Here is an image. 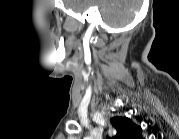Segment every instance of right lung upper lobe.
<instances>
[{
    "label": "right lung upper lobe",
    "instance_id": "cb5924a9",
    "mask_svg": "<svg viewBox=\"0 0 179 139\" xmlns=\"http://www.w3.org/2000/svg\"><path fill=\"white\" fill-rule=\"evenodd\" d=\"M112 125L117 129L116 139H141V128L130 119L124 117H114L111 119Z\"/></svg>",
    "mask_w": 179,
    "mask_h": 139
}]
</instances>
